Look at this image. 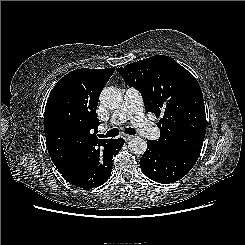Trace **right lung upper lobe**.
<instances>
[{
	"label": "right lung upper lobe",
	"instance_id": "cb5924a9",
	"mask_svg": "<svg viewBox=\"0 0 245 245\" xmlns=\"http://www.w3.org/2000/svg\"><path fill=\"white\" fill-rule=\"evenodd\" d=\"M115 68L76 69L52 89L45 107L44 132L49 155L55 161L78 162L100 142L96 133L99 95Z\"/></svg>",
	"mask_w": 245,
	"mask_h": 245
}]
</instances>
